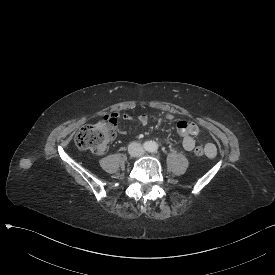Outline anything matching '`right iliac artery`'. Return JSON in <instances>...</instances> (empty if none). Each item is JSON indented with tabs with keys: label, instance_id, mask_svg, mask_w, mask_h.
Instances as JSON below:
<instances>
[{
	"label": "right iliac artery",
	"instance_id": "obj_1",
	"mask_svg": "<svg viewBox=\"0 0 275 275\" xmlns=\"http://www.w3.org/2000/svg\"><path fill=\"white\" fill-rule=\"evenodd\" d=\"M143 147L146 149V150H149L151 148V142H145L143 144Z\"/></svg>",
	"mask_w": 275,
	"mask_h": 275
}]
</instances>
